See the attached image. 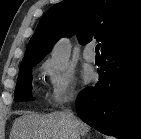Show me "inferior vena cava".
I'll use <instances>...</instances> for the list:
<instances>
[{"mask_svg":"<svg viewBox=\"0 0 141 139\" xmlns=\"http://www.w3.org/2000/svg\"><path fill=\"white\" fill-rule=\"evenodd\" d=\"M66 115L68 116V118L72 121L73 126H74V133H73V138L74 139H80L79 133L76 129V120H75V116L73 114V112L70 109L66 110Z\"/></svg>","mask_w":141,"mask_h":139,"instance_id":"inferior-vena-cava-1","label":"inferior vena cava"}]
</instances>
